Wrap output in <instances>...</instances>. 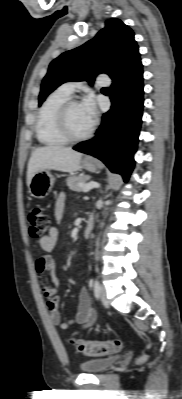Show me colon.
<instances>
[{
  "instance_id": "5ec220e1",
  "label": "colon",
  "mask_w": 182,
  "mask_h": 399,
  "mask_svg": "<svg viewBox=\"0 0 182 399\" xmlns=\"http://www.w3.org/2000/svg\"><path fill=\"white\" fill-rule=\"evenodd\" d=\"M29 223V233L34 239L44 237L50 226L49 215L39 206H33L27 213ZM72 345L82 354L87 356H107L116 354L123 350L125 343L122 340L115 339L106 342H95L82 339H74ZM145 356L139 358V362H143Z\"/></svg>"
}]
</instances>
